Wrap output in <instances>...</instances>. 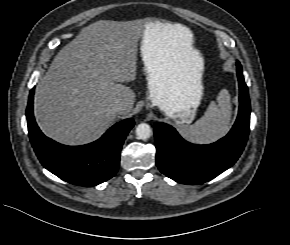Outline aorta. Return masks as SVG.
<instances>
[{"mask_svg":"<svg viewBox=\"0 0 290 245\" xmlns=\"http://www.w3.org/2000/svg\"><path fill=\"white\" fill-rule=\"evenodd\" d=\"M152 133L151 127L146 123H141L136 127V135L139 139L147 140Z\"/></svg>","mask_w":290,"mask_h":245,"instance_id":"762f6f07","label":"aorta"}]
</instances>
